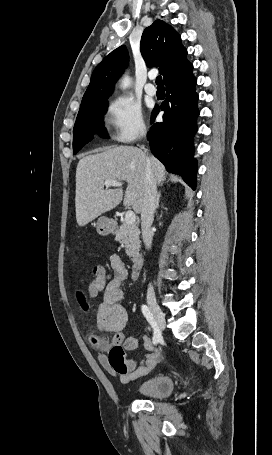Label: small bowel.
<instances>
[{"instance_id": "obj_1", "label": "small bowel", "mask_w": 272, "mask_h": 455, "mask_svg": "<svg viewBox=\"0 0 272 455\" xmlns=\"http://www.w3.org/2000/svg\"><path fill=\"white\" fill-rule=\"evenodd\" d=\"M109 264L113 274L105 286L103 301L96 309L97 327L101 331L113 333V343L122 345L126 351L137 349L139 340L142 339L147 353L139 363L132 360L128 361L126 370L123 372L115 370L110 365L107 356L102 352L98 353V361L111 374H118L123 383H130L146 376L153 370L160 362V353L145 335L125 336L124 329L128 324V313L122 304L124 297L122 282L127 279L128 272L122 259L116 254L110 256ZM76 299L81 308L87 311L89 308L88 296L83 290H77Z\"/></svg>"}]
</instances>
